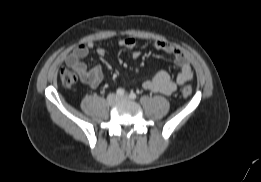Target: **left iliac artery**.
<instances>
[{
	"label": "left iliac artery",
	"instance_id": "1",
	"mask_svg": "<svg viewBox=\"0 0 261 182\" xmlns=\"http://www.w3.org/2000/svg\"><path fill=\"white\" fill-rule=\"evenodd\" d=\"M129 97H130L131 99H135V98H136V94H135L134 92H131V93L129 94Z\"/></svg>",
	"mask_w": 261,
	"mask_h": 182
}]
</instances>
